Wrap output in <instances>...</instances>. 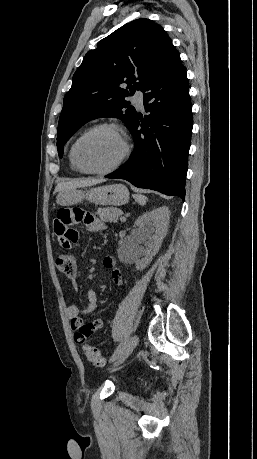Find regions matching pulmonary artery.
<instances>
[{"label": "pulmonary artery", "instance_id": "1", "mask_svg": "<svg viewBox=\"0 0 257 459\" xmlns=\"http://www.w3.org/2000/svg\"><path fill=\"white\" fill-rule=\"evenodd\" d=\"M133 102L138 108L144 107V93L141 91H137L133 96Z\"/></svg>", "mask_w": 257, "mask_h": 459}]
</instances>
